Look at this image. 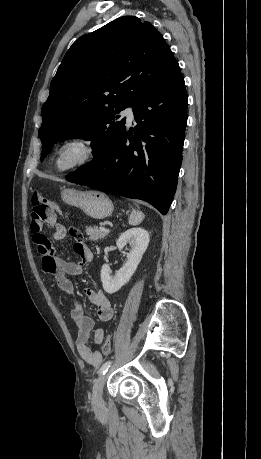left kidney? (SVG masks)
I'll return each instance as SVG.
<instances>
[{"label":"left kidney","instance_id":"left-kidney-1","mask_svg":"<svg viewBox=\"0 0 261 459\" xmlns=\"http://www.w3.org/2000/svg\"><path fill=\"white\" fill-rule=\"evenodd\" d=\"M149 241V233L143 228H131L121 234L116 242L118 248L123 249L129 244L131 249L127 253V262L114 276H111L109 265L104 264L102 266L101 281L103 289L107 293L117 292L130 280L148 247Z\"/></svg>","mask_w":261,"mask_h":459}]
</instances>
